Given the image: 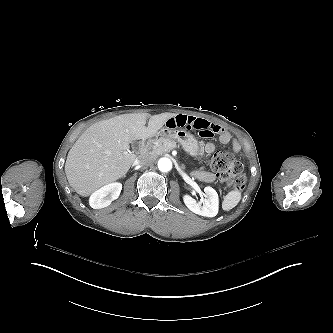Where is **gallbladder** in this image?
Listing matches in <instances>:
<instances>
[{
	"instance_id": "gallbladder-1",
	"label": "gallbladder",
	"mask_w": 333,
	"mask_h": 333,
	"mask_svg": "<svg viewBox=\"0 0 333 333\" xmlns=\"http://www.w3.org/2000/svg\"><path fill=\"white\" fill-rule=\"evenodd\" d=\"M136 147L138 146L137 143L134 144Z\"/></svg>"
}]
</instances>
